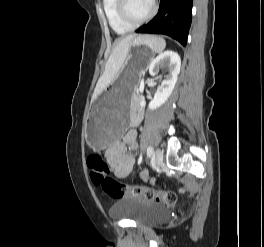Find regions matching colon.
I'll use <instances>...</instances> for the list:
<instances>
[{
	"label": "colon",
	"mask_w": 264,
	"mask_h": 247,
	"mask_svg": "<svg viewBox=\"0 0 264 247\" xmlns=\"http://www.w3.org/2000/svg\"><path fill=\"white\" fill-rule=\"evenodd\" d=\"M90 169V177L95 185L101 186L103 191L112 198L125 197L143 198L150 201L163 202L174 205L177 202V194L173 191H160L141 186H129L116 182L109 177V167L103 158L92 154L87 158Z\"/></svg>",
	"instance_id": "colon-1"
}]
</instances>
